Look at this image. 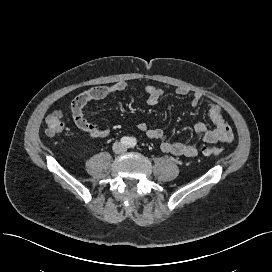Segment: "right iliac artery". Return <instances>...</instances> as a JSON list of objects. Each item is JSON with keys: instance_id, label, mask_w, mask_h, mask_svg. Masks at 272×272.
Returning <instances> with one entry per match:
<instances>
[{"instance_id": "right-iliac-artery-1", "label": "right iliac artery", "mask_w": 272, "mask_h": 272, "mask_svg": "<svg viewBox=\"0 0 272 272\" xmlns=\"http://www.w3.org/2000/svg\"><path fill=\"white\" fill-rule=\"evenodd\" d=\"M129 141H130V139L128 137L121 138V143L124 144V145H128Z\"/></svg>"}]
</instances>
